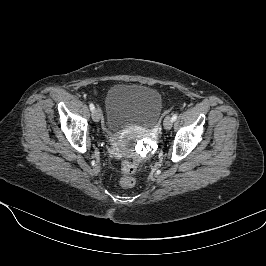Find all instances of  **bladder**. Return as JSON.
<instances>
[{
	"mask_svg": "<svg viewBox=\"0 0 266 266\" xmlns=\"http://www.w3.org/2000/svg\"><path fill=\"white\" fill-rule=\"evenodd\" d=\"M106 124L115 133L129 126L152 127L161 114V94L150 87L115 84L107 92Z\"/></svg>",
	"mask_w": 266,
	"mask_h": 266,
	"instance_id": "1",
	"label": "bladder"
}]
</instances>
